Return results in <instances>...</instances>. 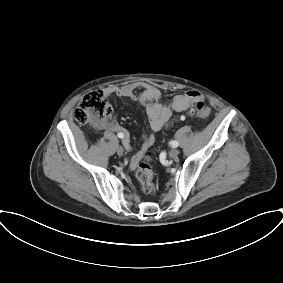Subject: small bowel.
I'll return each instance as SVG.
<instances>
[{
	"label": "small bowel",
	"instance_id": "small-bowel-1",
	"mask_svg": "<svg viewBox=\"0 0 283 283\" xmlns=\"http://www.w3.org/2000/svg\"><path fill=\"white\" fill-rule=\"evenodd\" d=\"M138 90L140 93L137 95L136 92ZM102 93L105 96L116 95L119 98L139 100L145 109L149 127L152 132L159 131L171 118L173 112L184 111L191 106H194L197 102L203 100V97L199 92L192 90L175 95L170 104L165 105L161 102V90L155 85L146 83H134L122 87L110 86L104 89ZM105 127L110 132L123 133L125 135V147L128 150L132 149L126 130L116 121L115 118L108 120ZM153 142L154 136L152 134L145 136L141 150L131 159L129 165L131 170L136 168L144 152L151 147Z\"/></svg>",
	"mask_w": 283,
	"mask_h": 283
}]
</instances>
